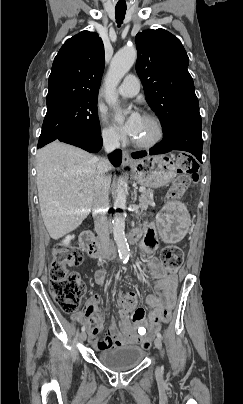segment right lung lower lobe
<instances>
[{"label": "right lung lower lobe", "mask_w": 243, "mask_h": 404, "mask_svg": "<svg viewBox=\"0 0 243 404\" xmlns=\"http://www.w3.org/2000/svg\"><path fill=\"white\" fill-rule=\"evenodd\" d=\"M56 140L75 145L89 152H98L102 147L101 133L95 134L78 130H68L61 133ZM109 159L115 167H118L122 161L121 150H115L109 155Z\"/></svg>", "instance_id": "98d812e1"}]
</instances>
